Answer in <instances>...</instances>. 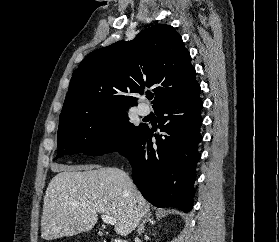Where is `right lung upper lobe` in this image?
I'll list each match as a JSON object with an SVG mask.
<instances>
[{"mask_svg":"<svg viewBox=\"0 0 279 242\" xmlns=\"http://www.w3.org/2000/svg\"><path fill=\"white\" fill-rule=\"evenodd\" d=\"M190 60L181 36L165 24L97 49L74 71L59 125L126 112L137 103L132 95L149 87L154 109L182 96L198 85Z\"/></svg>","mask_w":279,"mask_h":242,"instance_id":"1","label":"right lung upper lobe"}]
</instances>
